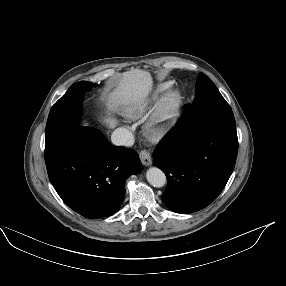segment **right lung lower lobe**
I'll use <instances>...</instances> for the list:
<instances>
[{"mask_svg":"<svg viewBox=\"0 0 286 286\" xmlns=\"http://www.w3.org/2000/svg\"><path fill=\"white\" fill-rule=\"evenodd\" d=\"M45 162L59 196L87 218L117 212L126 178L142 170L135 151L114 147L99 130L80 126L46 140Z\"/></svg>","mask_w":286,"mask_h":286,"instance_id":"98d812e1","label":"right lung lower lobe"}]
</instances>
